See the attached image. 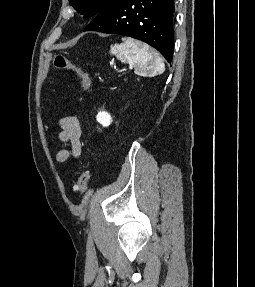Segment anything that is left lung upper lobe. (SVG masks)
Listing matches in <instances>:
<instances>
[{
  "label": "left lung upper lobe",
  "mask_w": 255,
  "mask_h": 287,
  "mask_svg": "<svg viewBox=\"0 0 255 287\" xmlns=\"http://www.w3.org/2000/svg\"><path fill=\"white\" fill-rule=\"evenodd\" d=\"M112 0H69L78 12L85 14L84 18L100 13Z\"/></svg>",
  "instance_id": "obj_1"
}]
</instances>
